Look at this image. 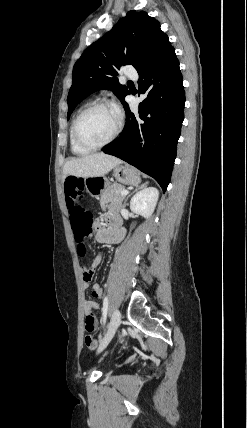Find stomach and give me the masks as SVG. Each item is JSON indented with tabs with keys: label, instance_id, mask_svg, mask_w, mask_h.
I'll list each match as a JSON object with an SVG mask.
<instances>
[{
	"label": "stomach",
	"instance_id": "stomach-1",
	"mask_svg": "<svg viewBox=\"0 0 247 428\" xmlns=\"http://www.w3.org/2000/svg\"><path fill=\"white\" fill-rule=\"evenodd\" d=\"M113 176L118 182L126 185H134L140 182L138 172L129 165H116L113 169ZM83 181L87 192L95 198L101 195L109 185V181L104 176L87 177Z\"/></svg>",
	"mask_w": 247,
	"mask_h": 428
}]
</instances>
